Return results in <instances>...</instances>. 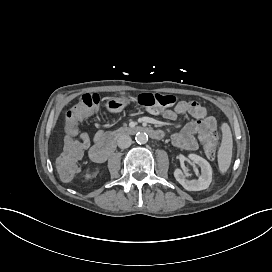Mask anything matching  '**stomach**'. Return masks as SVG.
<instances>
[{"instance_id":"1","label":"stomach","mask_w":272,"mask_h":272,"mask_svg":"<svg viewBox=\"0 0 272 272\" xmlns=\"http://www.w3.org/2000/svg\"><path fill=\"white\" fill-rule=\"evenodd\" d=\"M129 101V99H122V98H114L111 99L108 103H107V107L110 111L113 112H118L120 111L124 105Z\"/></svg>"}]
</instances>
